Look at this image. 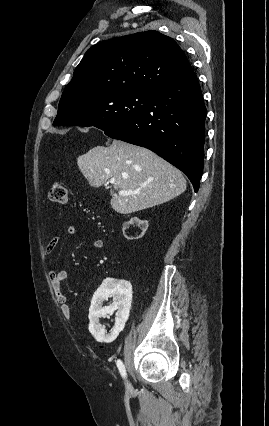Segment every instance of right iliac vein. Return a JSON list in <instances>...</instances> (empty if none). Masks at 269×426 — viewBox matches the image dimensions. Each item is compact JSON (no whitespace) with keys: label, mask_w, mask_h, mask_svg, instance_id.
Segmentation results:
<instances>
[{"label":"right iliac vein","mask_w":269,"mask_h":426,"mask_svg":"<svg viewBox=\"0 0 269 426\" xmlns=\"http://www.w3.org/2000/svg\"><path fill=\"white\" fill-rule=\"evenodd\" d=\"M125 387L128 391H132L133 389L131 383L128 380L125 381Z\"/></svg>","instance_id":"right-iliac-vein-1"}]
</instances>
